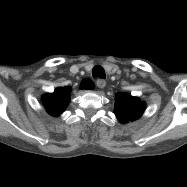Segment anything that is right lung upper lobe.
I'll return each mask as SVG.
<instances>
[{"instance_id": "right-lung-upper-lobe-1", "label": "right lung upper lobe", "mask_w": 187, "mask_h": 187, "mask_svg": "<svg viewBox=\"0 0 187 187\" xmlns=\"http://www.w3.org/2000/svg\"><path fill=\"white\" fill-rule=\"evenodd\" d=\"M70 87L57 88L54 93L48 94L44 98V105L48 112L54 115L61 114L69 102Z\"/></svg>"}]
</instances>
